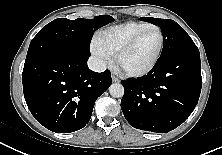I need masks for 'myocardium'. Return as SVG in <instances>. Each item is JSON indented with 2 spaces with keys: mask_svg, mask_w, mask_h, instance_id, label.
<instances>
[{
  "mask_svg": "<svg viewBox=\"0 0 222 155\" xmlns=\"http://www.w3.org/2000/svg\"><path fill=\"white\" fill-rule=\"evenodd\" d=\"M150 30H157L160 34V45H159V49L158 52L155 56V58L153 59V61L144 69L142 70H138V71H127V70H123L122 71L129 77H143L147 74H149L158 64L162 53H163V49H164V44H165V36L163 31L161 30L160 27L153 25L150 26L142 31H140L139 33H137L135 36H133L129 41H127L123 46H121L117 52L115 53V63L116 65L120 68V59L121 57L127 53L130 49H132L135 44Z\"/></svg>",
  "mask_w": 222,
  "mask_h": 155,
  "instance_id": "myocardium-1",
  "label": "myocardium"
}]
</instances>
